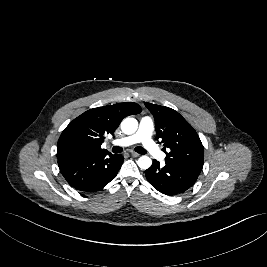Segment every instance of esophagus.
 <instances>
[{"instance_id": "esophagus-1", "label": "esophagus", "mask_w": 267, "mask_h": 267, "mask_svg": "<svg viewBox=\"0 0 267 267\" xmlns=\"http://www.w3.org/2000/svg\"><path fill=\"white\" fill-rule=\"evenodd\" d=\"M131 156H132V157H139L140 154H138L137 152H131Z\"/></svg>"}]
</instances>
